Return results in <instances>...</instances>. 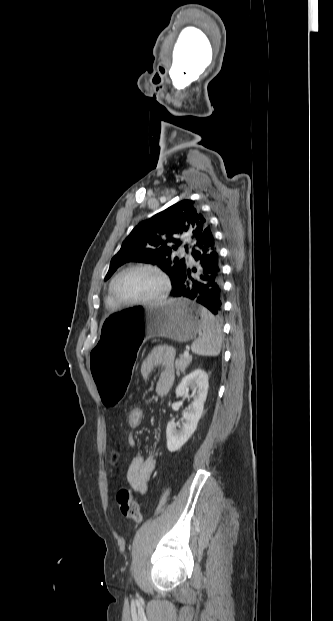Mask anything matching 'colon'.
Wrapping results in <instances>:
<instances>
[{"instance_id":"obj_1","label":"colon","mask_w":333,"mask_h":621,"mask_svg":"<svg viewBox=\"0 0 333 621\" xmlns=\"http://www.w3.org/2000/svg\"><path fill=\"white\" fill-rule=\"evenodd\" d=\"M142 418L143 412L140 408H132L126 413V421L131 428L139 426ZM116 502L123 517L135 522H139L141 520L139 505L133 499L129 489H119L116 495Z\"/></svg>"}]
</instances>
